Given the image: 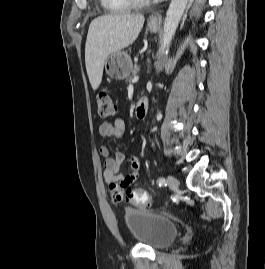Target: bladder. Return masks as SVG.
Listing matches in <instances>:
<instances>
[{
    "mask_svg": "<svg viewBox=\"0 0 265 269\" xmlns=\"http://www.w3.org/2000/svg\"><path fill=\"white\" fill-rule=\"evenodd\" d=\"M129 234L140 244L153 249L171 245L179 234V228L170 219L148 210L129 208L123 213Z\"/></svg>",
    "mask_w": 265,
    "mask_h": 269,
    "instance_id": "1",
    "label": "bladder"
}]
</instances>
